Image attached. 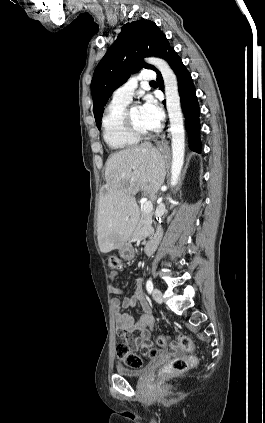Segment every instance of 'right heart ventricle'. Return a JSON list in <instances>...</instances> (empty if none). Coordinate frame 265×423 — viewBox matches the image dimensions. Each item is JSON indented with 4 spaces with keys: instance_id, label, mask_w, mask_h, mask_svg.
Here are the masks:
<instances>
[{
    "instance_id": "right-heart-ventricle-1",
    "label": "right heart ventricle",
    "mask_w": 265,
    "mask_h": 423,
    "mask_svg": "<svg viewBox=\"0 0 265 423\" xmlns=\"http://www.w3.org/2000/svg\"><path fill=\"white\" fill-rule=\"evenodd\" d=\"M127 104L112 100L102 118L104 140L114 150L130 149L139 143V139L131 135L123 125L122 115Z\"/></svg>"
}]
</instances>
